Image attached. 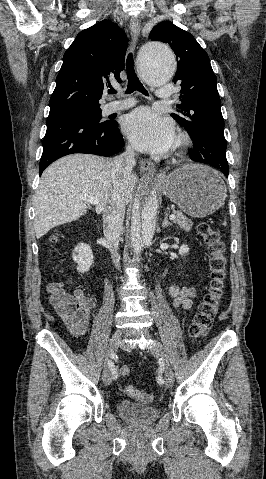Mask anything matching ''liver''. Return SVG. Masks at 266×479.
I'll return each mask as SVG.
<instances>
[{
	"mask_svg": "<svg viewBox=\"0 0 266 479\" xmlns=\"http://www.w3.org/2000/svg\"><path fill=\"white\" fill-rule=\"evenodd\" d=\"M112 162L97 155L74 154L51 164L42 174L35 197L34 229L39 239L52 228L87 214L81 195L99 199L103 211L113 190ZM137 177L131 175L123 189L125 204L132 200Z\"/></svg>",
	"mask_w": 266,
	"mask_h": 479,
	"instance_id": "1",
	"label": "liver"
}]
</instances>
